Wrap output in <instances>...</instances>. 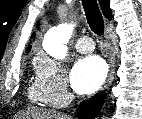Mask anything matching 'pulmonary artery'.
I'll return each instance as SVG.
<instances>
[{"label":"pulmonary artery","instance_id":"1","mask_svg":"<svg viewBox=\"0 0 142 119\" xmlns=\"http://www.w3.org/2000/svg\"><path fill=\"white\" fill-rule=\"evenodd\" d=\"M76 49L82 54L91 53L94 50V42L89 37H82L76 42Z\"/></svg>","mask_w":142,"mask_h":119}]
</instances>
